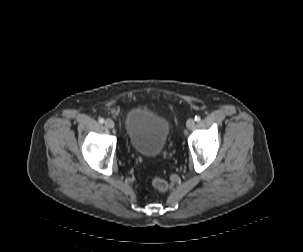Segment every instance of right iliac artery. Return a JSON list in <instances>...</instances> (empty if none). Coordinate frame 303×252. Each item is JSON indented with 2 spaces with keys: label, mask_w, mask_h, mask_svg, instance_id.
Segmentation results:
<instances>
[{
  "label": "right iliac artery",
  "mask_w": 303,
  "mask_h": 252,
  "mask_svg": "<svg viewBox=\"0 0 303 252\" xmlns=\"http://www.w3.org/2000/svg\"><path fill=\"white\" fill-rule=\"evenodd\" d=\"M99 122H100V123H103V122H104V119H103V118H99Z\"/></svg>",
  "instance_id": "obj_1"
}]
</instances>
